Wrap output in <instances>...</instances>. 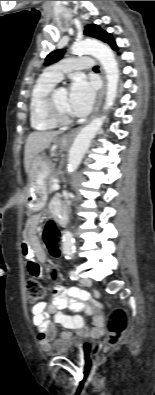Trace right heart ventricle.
Instances as JSON below:
<instances>
[{
	"mask_svg": "<svg viewBox=\"0 0 155 395\" xmlns=\"http://www.w3.org/2000/svg\"><path fill=\"white\" fill-rule=\"evenodd\" d=\"M56 84L57 81L45 73L38 78L31 90L29 115L31 127L35 130L45 131L56 127V124L47 118L43 107L45 96Z\"/></svg>",
	"mask_w": 155,
	"mask_h": 395,
	"instance_id": "e07e8e85",
	"label": "right heart ventricle"
}]
</instances>
